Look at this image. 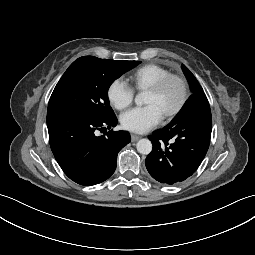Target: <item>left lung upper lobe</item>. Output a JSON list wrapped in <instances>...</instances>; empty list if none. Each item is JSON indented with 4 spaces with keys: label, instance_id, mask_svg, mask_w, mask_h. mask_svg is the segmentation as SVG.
I'll return each instance as SVG.
<instances>
[{
    "label": "left lung upper lobe",
    "instance_id": "left-lung-upper-lobe-1",
    "mask_svg": "<svg viewBox=\"0 0 255 255\" xmlns=\"http://www.w3.org/2000/svg\"><path fill=\"white\" fill-rule=\"evenodd\" d=\"M181 68L189 82L192 94L203 92L202 87L200 86V84L197 81V79L195 78V76L191 73V71L183 64H182Z\"/></svg>",
    "mask_w": 255,
    "mask_h": 255
}]
</instances>
